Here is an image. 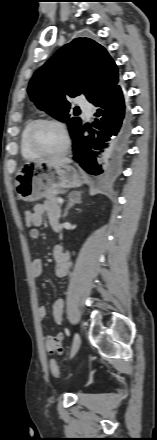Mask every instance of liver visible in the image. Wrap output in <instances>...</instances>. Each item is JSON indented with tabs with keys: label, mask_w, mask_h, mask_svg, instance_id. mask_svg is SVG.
<instances>
[{
	"label": "liver",
	"mask_w": 157,
	"mask_h": 440,
	"mask_svg": "<svg viewBox=\"0 0 157 440\" xmlns=\"http://www.w3.org/2000/svg\"><path fill=\"white\" fill-rule=\"evenodd\" d=\"M40 161L46 162L51 165H60V164H69L71 163L72 160L67 157H60V158H52V159L40 160Z\"/></svg>",
	"instance_id": "6515ba94"
}]
</instances>
